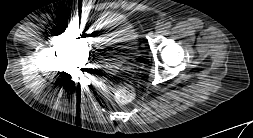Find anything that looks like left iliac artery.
<instances>
[{"mask_svg":"<svg viewBox=\"0 0 253 138\" xmlns=\"http://www.w3.org/2000/svg\"><path fill=\"white\" fill-rule=\"evenodd\" d=\"M171 27V23L170 22H166L164 25L165 29H169Z\"/></svg>","mask_w":253,"mask_h":138,"instance_id":"1","label":"left iliac artery"}]
</instances>
